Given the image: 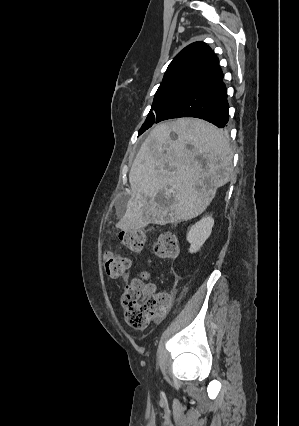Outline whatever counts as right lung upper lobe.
<instances>
[{
    "label": "right lung upper lobe",
    "instance_id": "obj_1",
    "mask_svg": "<svg viewBox=\"0 0 299 426\" xmlns=\"http://www.w3.org/2000/svg\"><path fill=\"white\" fill-rule=\"evenodd\" d=\"M223 77L218 58L203 42L185 47L169 64L161 85L190 84L200 86Z\"/></svg>",
    "mask_w": 299,
    "mask_h": 426
}]
</instances>
